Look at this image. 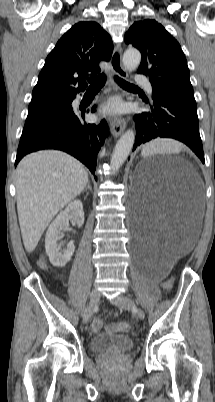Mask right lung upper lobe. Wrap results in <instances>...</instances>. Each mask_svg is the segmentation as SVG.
I'll return each instance as SVG.
<instances>
[{
    "instance_id": "right-lung-upper-lobe-1",
    "label": "right lung upper lobe",
    "mask_w": 215,
    "mask_h": 402,
    "mask_svg": "<svg viewBox=\"0 0 215 402\" xmlns=\"http://www.w3.org/2000/svg\"><path fill=\"white\" fill-rule=\"evenodd\" d=\"M113 43L109 34L92 21L72 26L47 56L32 92V100L74 99L87 87L85 77L101 71L98 63L109 61Z\"/></svg>"
}]
</instances>
